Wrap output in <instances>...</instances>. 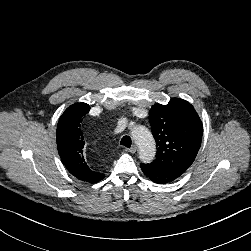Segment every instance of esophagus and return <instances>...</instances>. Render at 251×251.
Returning <instances> with one entry per match:
<instances>
[{
	"label": "esophagus",
	"instance_id": "esophagus-1",
	"mask_svg": "<svg viewBox=\"0 0 251 251\" xmlns=\"http://www.w3.org/2000/svg\"><path fill=\"white\" fill-rule=\"evenodd\" d=\"M127 151H129L131 153H135L137 151L136 145H132L130 148L127 149Z\"/></svg>",
	"mask_w": 251,
	"mask_h": 251
}]
</instances>
